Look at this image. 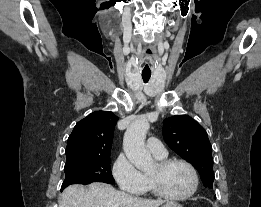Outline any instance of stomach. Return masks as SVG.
<instances>
[{"label":"stomach","mask_w":261,"mask_h":207,"mask_svg":"<svg viewBox=\"0 0 261 207\" xmlns=\"http://www.w3.org/2000/svg\"><path fill=\"white\" fill-rule=\"evenodd\" d=\"M162 207H183L181 204L173 201H167Z\"/></svg>","instance_id":"stomach-1"}]
</instances>
